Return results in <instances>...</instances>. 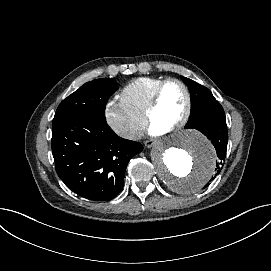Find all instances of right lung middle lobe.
<instances>
[{"instance_id":"right-lung-middle-lobe-1","label":"right lung middle lobe","mask_w":271,"mask_h":271,"mask_svg":"<svg viewBox=\"0 0 271 271\" xmlns=\"http://www.w3.org/2000/svg\"><path fill=\"white\" fill-rule=\"evenodd\" d=\"M117 89L116 82L112 79L104 78L87 82L60 103L53 123L73 115L105 119L107 100Z\"/></svg>"}]
</instances>
